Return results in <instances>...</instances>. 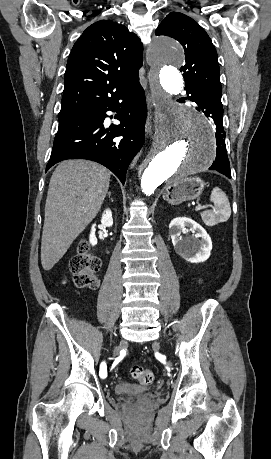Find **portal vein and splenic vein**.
<instances>
[{
  "label": "portal vein and splenic vein",
  "instance_id": "portal-vein-and-splenic-vein-1",
  "mask_svg": "<svg viewBox=\"0 0 271 459\" xmlns=\"http://www.w3.org/2000/svg\"><path fill=\"white\" fill-rule=\"evenodd\" d=\"M208 206H209V207H208ZM211 206L214 207L215 205H214V204H212V205H210V204H209V205H207V204H202V206H197L196 210H205V208L211 209V208H212Z\"/></svg>",
  "mask_w": 271,
  "mask_h": 459
}]
</instances>
